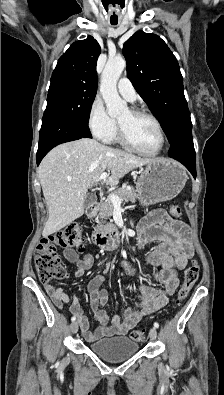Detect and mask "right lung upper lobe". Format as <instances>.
Listing matches in <instances>:
<instances>
[{"label": "right lung upper lobe", "instance_id": "obj_1", "mask_svg": "<svg viewBox=\"0 0 224 395\" xmlns=\"http://www.w3.org/2000/svg\"><path fill=\"white\" fill-rule=\"evenodd\" d=\"M100 52L101 48L92 36L74 42L58 60L51 80H65L97 89L96 63Z\"/></svg>", "mask_w": 224, "mask_h": 395}]
</instances>
